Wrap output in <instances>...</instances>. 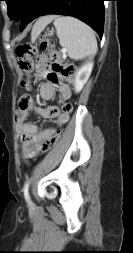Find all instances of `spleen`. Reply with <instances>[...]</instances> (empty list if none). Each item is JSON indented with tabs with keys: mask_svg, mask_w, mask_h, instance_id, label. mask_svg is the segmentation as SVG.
Segmentation results:
<instances>
[{
	"mask_svg": "<svg viewBox=\"0 0 133 253\" xmlns=\"http://www.w3.org/2000/svg\"><path fill=\"white\" fill-rule=\"evenodd\" d=\"M54 26L60 45L71 59L80 60L96 54V37L88 25L74 17L63 16L54 20Z\"/></svg>",
	"mask_w": 133,
	"mask_h": 253,
	"instance_id": "3e777b00",
	"label": "spleen"
}]
</instances>
